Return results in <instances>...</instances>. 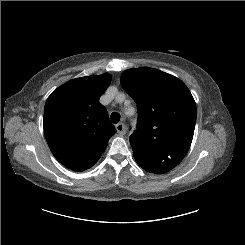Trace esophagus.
<instances>
[{
  "label": "esophagus",
  "mask_w": 245,
  "mask_h": 245,
  "mask_svg": "<svg viewBox=\"0 0 245 245\" xmlns=\"http://www.w3.org/2000/svg\"><path fill=\"white\" fill-rule=\"evenodd\" d=\"M116 131L119 133V134H125L126 133V128H125V125L123 123H118L116 126Z\"/></svg>",
  "instance_id": "1"
}]
</instances>
